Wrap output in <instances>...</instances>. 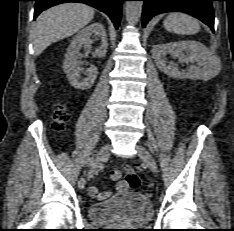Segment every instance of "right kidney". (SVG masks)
<instances>
[{
    "instance_id": "ca27d5eb",
    "label": "right kidney",
    "mask_w": 234,
    "mask_h": 231,
    "mask_svg": "<svg viewBox=\"0 0 234 231\" xmlns=\"http://www.w3.org/2000/svg\"><path fill=\"white\" fill-rule=\"evenodd\" d=\"M91 35H96L100 38L101 44L95 50V56L102 58L105 57L107 52V37L104 26L101 23H93L84 29H82L72 40L65 54L64 60V72L70 84L80 90L89 89L98 74V69L95 66H91L84 72V68L80 66V59L82 54L80 53L83 47L86 51L90 50L92 40ZM84 72L86 78L81 79L80 73Z\"/></svg>"
}]
</instances>
